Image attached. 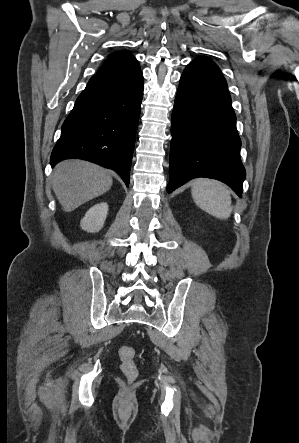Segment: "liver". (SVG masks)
Returning <instances> with one entry per match:
<instances>
[{
    "label": "liver",
    "instance_id": "liver-1",
    "mask_svg": "<svg viewBox=\"0 0 299 443\" xmlns=\"http://www.w3.org/2000/svg\"><path fill=\"white\" fill-rule=\"evenodd\" d=\"M112 183L107 170L83 160L61 161L52 174L53 191L65 212L104 194Z\"/></svg>",
    "mask_w": 299,
    "mask_h": 443
}]
</instances>
